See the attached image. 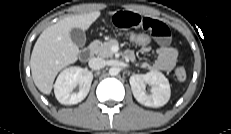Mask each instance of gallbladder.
<instances>
[{
    "mask_svg": "<svg viewBox=\"0 0 231 134\" xmlns=\"http://www.w3.org/2000/svg\"><path fill=\"white\" fill-rule=\"evenodd\" d=\"M70 37L75 45L83 47L86 42V35L83 30L79 28H73L70 31Z\"/></svg>",
    "mask_w": 231,
    "mask_h": 134,
    "instance_id": "obj_1",
    "label": "gallbladder"
}]
</instances>
